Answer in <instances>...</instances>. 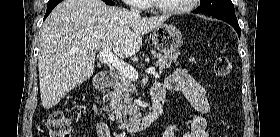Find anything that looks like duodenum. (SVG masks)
Instances as JSON below:
<instances>
[{
	"instance_id": "410a0bca",
	"label": "duodenum",
	"mask_w": 280,
	"mask_h": 137,
	"mask_svg": "<svg viewBox=\"0 0 280 137\" xmlns=\"http://www.w3.org/2000/svg\"><path fill=\"white\" fill-rule=\"evenodd\" d=\"M116 81L115 73L106 74L102 80L98 83L96 90L101 92L104 89L110 88ZM152 107L151 110L144 116L138 117L134 120L125 122L118 126V129L125 132H136L147 129L154 125L162 114V107L164 104V88L160 83H155L151 88ZM91 109L93 114L97 117L103 115L102 98L99 96L95 98L91 103Z\"/></svg>"
}]
</instances>
